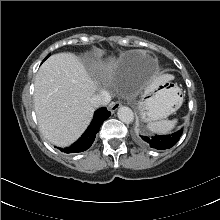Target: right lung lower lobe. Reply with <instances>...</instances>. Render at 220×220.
Segmentation results:
<instances>
[{"label":"right lung lower lobe","instance_id":"right-lung-lower-lobe-1","mask_svg":"<svg viewBox=\"0 0 220 220\" xmlns=\"http://www.w3.org/2000/svg\"><path fill=\"white\" fill-rule=\"evenodd\" d=\"M111 115V112H109L105 107L98 109L95 114L94 118L88 127V129L85 131V133L70 147L60 149L61 151L65 153H77L87 150L92 143L94 142V139L96 137L97 132L99 131V128L104 120L109 118Z\"/></svg>","mask_w":220,"mask_h":220}]
</instances>
